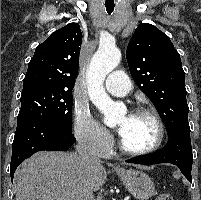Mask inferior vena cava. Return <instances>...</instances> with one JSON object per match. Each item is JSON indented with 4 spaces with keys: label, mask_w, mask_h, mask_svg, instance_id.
I'll use <instances>...</instances> for the list:
<instances>
[{
    "label": "inferior vena cava",
    "mask_w": 201,
    "mask_h": 200,
    "mask_svg": "<svg viewBox=\"0 0 201 200\" xmlns=\"http://www.w3.org/2000/svg\"><path fill=\"white\" fill-rule=\"evenodd\" d=\"M77 160L81 165H91L99 163L100 159L93 152L92 148L85 142L79 141L76 146ZM80 200H95L93 191L89 187H84Z\"/></svg>",
    "instance_id": "1"
}]
</instances>
